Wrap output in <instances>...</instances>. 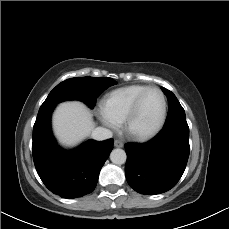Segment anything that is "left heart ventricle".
<instances>
[{
    "instance_id": "obj_1",
    "label": "left heart ventricle",
    "mask_w": 229,
    "mask_h": 229,
    "mask_svg": "<svg viewBox=\"0 0 229 229\" xmlns=\"http://www.w3.org/2000/svg\"><path fill=\"white\" fill-rule=\"evenodd\" d=\"M162 106L161 95L156 91L149 92L141 101L131 126L132 130L145 132L153 128L161 116Z\"/></svg>"
}]
</instances>
